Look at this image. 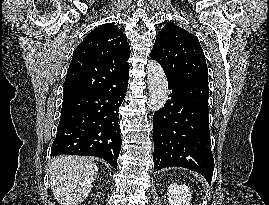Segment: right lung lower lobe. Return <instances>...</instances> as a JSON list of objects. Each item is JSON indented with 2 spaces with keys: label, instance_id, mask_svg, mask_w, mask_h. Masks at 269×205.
I'll list each match as a JSON object with an SVG mask.
<instances>
[{
  "label": "right lung lower lobe",
  "instance_id": "98d812e1",
  "mask_svg": "<svg viewBox=\"0 0 269 205\" xmlns=\"http://www.w3.org/2000/svg\"><path fill=\"white\" fill-rule=\"evenodd\" d=\"M128 78L129 72L116 87L63 98L52 156H96L117 167L121 149L118 108L125 97Z\"/></svg>",
  "mask_w": 269,
  "mask_h": 205
}]
</instances>
